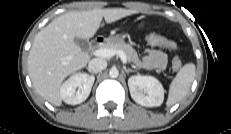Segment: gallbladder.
<instances>
[{"label": "gallbladder", "mask_w": 231, "mask_h": 134, "mask_svg": "<svg viewBox=\"0 0 231 134\" xmlns=\"http://www.w3.org/2000/svg\"><path fill=\"white\" fill-rule=\"evenodd\" d=\"M75 42L82 50H86L89 46L88 41L85 39L75 38Z\"/></svg>", "instance_id": "obj_1"}]
</instances>
